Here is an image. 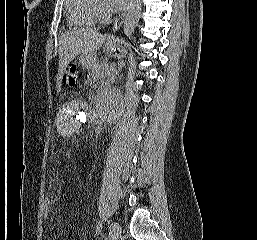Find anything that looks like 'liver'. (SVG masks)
I'll list each match as a JSON object with an SVG mask.
<instances>
[{"label":"liver","instance_id":"6515ba94","mask_svg":"<svg viewBox=\"0 0 257 240\" xmlns=\"http://www.w3.org/2000/svg\"><path fill=\"white\" fill-rule=\"evenodd\" d=\"M105 35L92 28L65 32L59 39L58 80L78 55H93L105 42Z\"/></svg>","mask_w":257,"mask_h":240}]
</instances>
